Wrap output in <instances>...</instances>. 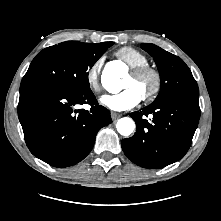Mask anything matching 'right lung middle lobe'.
<instances>
[{"label":"right lung middle lobe","instance_id":"1","mask_svg":"<svg viewBox=\"0 0 221 221\" xmlns=\"http://www.w3.org/2000/svg\"><path fill=\"white\" fill-rule=\"evenodd\" d=\"M113 42L66 41L39 52L21 83L49 82L72 90H89L88 71Z\"/></svg>","mask_w":221,"mask_h":221}]
</instances>
